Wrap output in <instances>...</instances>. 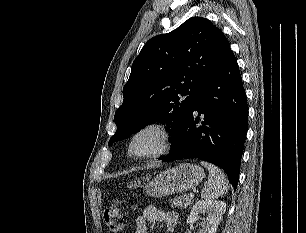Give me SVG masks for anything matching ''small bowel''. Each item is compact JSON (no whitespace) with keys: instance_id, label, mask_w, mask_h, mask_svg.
<instances>
[{"instance_id":"1","label":"small bowel","mask_w":306,"mask_h":233,"mask_svg":"<svg viewBox=\"0 0 306 233\" xmlns=\"http://www.w3.org/2000/svg\"><path fill=\"white\" fill-rule=\"evenodd\" d=\"M179 216L176 212H164L155 207H147L141 215L134 218L135 233H148L151 223H165L169 231H173L178 223Z\"/></svg>"}]
</instances>
